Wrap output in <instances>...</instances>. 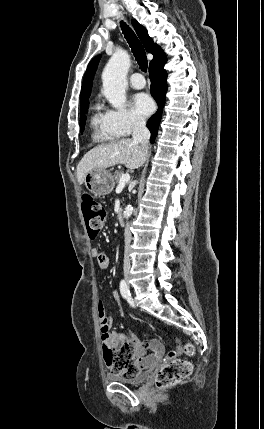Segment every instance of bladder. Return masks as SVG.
Instances as JSON below:
<instances>
[{
    "mask_svg": "<svg viewBox=\"0 0 264 429\" xmlns=\"http://www.w3.org/2000/svg\"><path fill=\"white\" fill-rule=\"evenodd\" d=\"M108 377L110 380L116 383H120L124 385H139L149 377V373L142 372V373H138L133 377H124V376H119L115 374H109Z\"/></svg>",
    "mask_w": 264,
    "mask_h": 429,
    "instance_id": "obj_1",
    "label": "bladder"
}]
</instances>
